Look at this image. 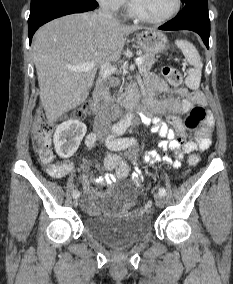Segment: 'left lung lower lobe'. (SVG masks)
Wrapping results in <instances>:
<instances>
[{"instance_id":"0a47b994","label":"left lung lower lobe","mask_w":233,"mask_h":284,"mask_svg":"<svg viewBox=\"0 0 233 284\" xmlns=\"http://www.w3.org/2000/svg\"><path fill=\"white\" fill-rule=\"evenodd\" d=\"M161 30H191L198 33L209 48L210 20L207 0H191L181 13L160 26Z\"/></svg>"}]
</instances>
